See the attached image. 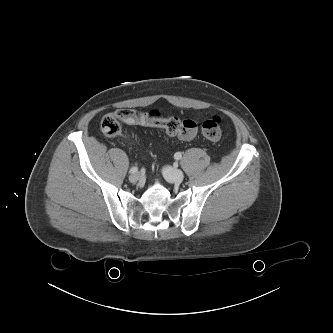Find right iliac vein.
<instances>
[{
	"mask_svg": "<svg viewBox=\"0 0 333 333\" xmlns=\"http://www.w3.org/2000/svg\"><path fill=\"white\" fill-rule=\"evenodd\" d=\"M140 177L141 176H140L139 173H134V174H131L129 176V180H130V182L135 183V182H137L140 179Z\"/></svg>",
	"mask_w": 333,
	"mask_h": 333,
	"instance_id": "obj_1",
	"label": "right iliac vein"
}]
</instances>
